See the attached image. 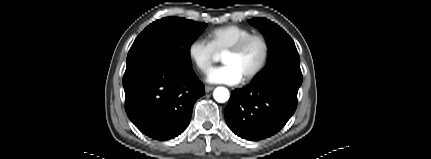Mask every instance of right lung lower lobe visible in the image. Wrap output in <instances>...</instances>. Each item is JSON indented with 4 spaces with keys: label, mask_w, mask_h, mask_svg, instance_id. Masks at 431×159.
I'll return each instance as SVG.
<instances>
[{
    "label": "right lung lower lobe",
    "mask_w": 431,
    "mask_h": 159,
    "mask_svg": "<svg viewBox=\"0 0 431 159\" xmlns=\"http://www.w3.org/2000/svg\"><path fill=\"white\" fill-rule=\"evenodd\" d=\"M123 86L129 119L142 133L160 141L187 128L194 103L205 94L191 67L157 56L127 65Z\"/></svg>",
    "instance_id": "right-lung-lower-lobe-1"
}]
</instances>
